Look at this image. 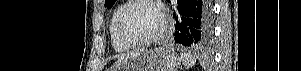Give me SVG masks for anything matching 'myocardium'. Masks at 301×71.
Here are the masks:
<instances>
[{"label":"myocardium","instance_id":"obj_1","mask_svg":"<svg viewBox=\"0 0 301 71\" xmlns=\"http://www.w3.org/2000/svg\"><path fill=\"white\" fill-rule=\"evenodd\" d=\"M139 3H148L152 6H154L155 8L158 9V11L161 14V25L160 28L158 29V31L150 36L147 37L145 39H141V40H132L130 39L127 34L125 33L124 30V20H125V16L128 12V10ZM168 26V16L166 11L164 10V8L161 6V4L158 1H153V0H131L128 1L123 8L121 9L119 16H118V20H117V33L118 36L120 37V39L127 44L130 47H141V46H147L150 44H153L157 41H159L161 39V37L164 35L166 29Z\"/></svg>","mask_w":301,"mask_h":71}]
</instances>
